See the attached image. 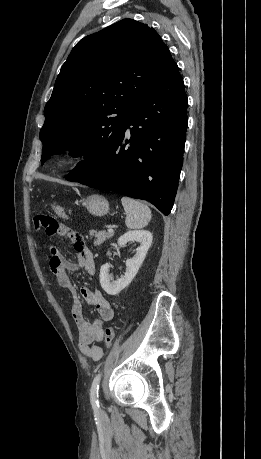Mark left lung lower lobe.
I'll list each match as a JSON object with an SVG mask.
<instances>
[{"label":"left lung lower lobe","mask_w":261,"mask_h":459,"mask_svg":"<svg viewBox=\"0 0 261 459\" xmlns=\"http://www.w3.org/2000/svg\"><path fill=\"white\" fill-rule=\"evenodd\" d=\"M187 106L183 79L175 63L131 112L99 167L91 172L73 170L66 179L147 200L168 215L183 164ZM128 129L130 136L126 138Z\"/></svg>","instance_id":"1"}]
</instances>
